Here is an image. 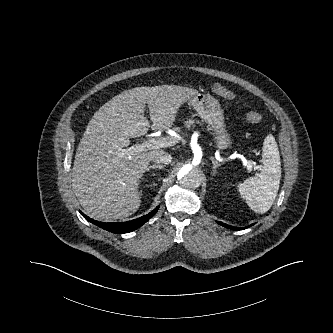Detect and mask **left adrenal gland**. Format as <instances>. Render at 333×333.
Instances as JSON below:
<instances>
[{"mask_svg":"<svg viewBox=\"0 0 333 333\" xmlns=\"http://www.w3.org/2000/svg\"><path fill=\"white\" fill-rule=\"evenodd\" d=\"M210 159H211L212 164H213V167H212L213 168V174H216V169L218 167H220V164L213 157H211Z\"/></svg>","mask_w":333,"mask_h":333,"instance_id":"a2214340","label":"left adrenal gland"}]
</instances>
